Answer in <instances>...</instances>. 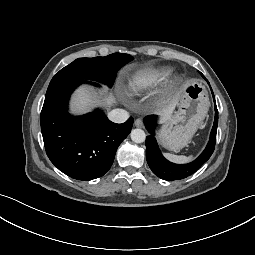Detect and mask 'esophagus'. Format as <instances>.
<instances>
[{"mask_svg":"<svg viewBox=\"0 0 255 255\" xmlns=\"http://www.w3.org/2000/svg\"><path fill=\"white\" fill-rule=\"evenodd\" d=\"M134 125H135L136 127H142V126H143V122H142L141 119H136V120L134 121Z\"/></svg>","mask_w":255,"mask_h":255,"instance_id":"1","label":"esophagus"}]
</instances>
